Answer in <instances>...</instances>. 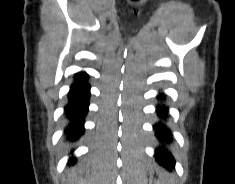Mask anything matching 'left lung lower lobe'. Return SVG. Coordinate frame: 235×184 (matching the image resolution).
Returning <instances> with one entry per match:
<instances>
[{
	"mask_svg": "<svg viewBox=\"0 0 235 184\" xmlns=\"http://www.w3.org/2000/svg\"><path fill=\"white\" fill-rule=\"evenodd\" d=\"M160 97H162V95ZM158 116L160 118H166L167 115L164 110H159ZM154 127L157 130V137L161 141H167V142L171 141L169 130L167 129L166 126H164L161 122H159L158 124H155ZM156 161L159 165H162L169 171L172 170V168L174 167V163H175V160L172 158L171 153H168L164 149L160 150L159 148L157 149Z\"/></svg>",
	"mask_w": 235,
	"mask_h": 184,
	"instance_id": "1",
	"label": "left lung lower lobe"
}]
</instances>
